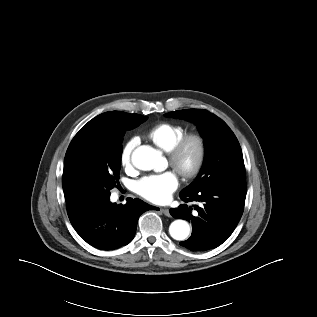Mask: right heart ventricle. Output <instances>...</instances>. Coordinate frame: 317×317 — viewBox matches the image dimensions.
Wrapping results in <instances>:
<instances>
[{
	"label": "right heart ventricle",
	"instance_id": "1",
	"mask_svg": "<svg viewBox=\"0 0 317 317\" xmlns=\"http://www.w3.org/2000/svg\"><path fill=\"white\" fill-rule=\"evenodd\" d=\"M185 133L186 129L183 126L163 122L150 128L146 136L157 147L165 152H169Z\"/></svg>",
	"mask_w": 317,
	"mask_h": 317
}]
</instances>
